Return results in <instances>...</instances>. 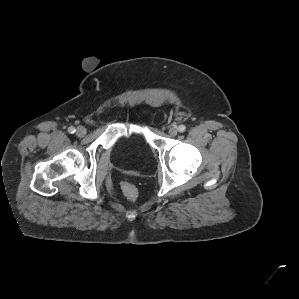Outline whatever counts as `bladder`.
<instances>
[{"instance_id": "1", "label": "bladder", "mask_w": 299, "mask_h": 299, "mask_svg": "<svg viewBox=\"0 0 299 299\" xmlns=\"http://www.w3.org/2000/svg\"><path fill=\"white\" fill-rule=\"evenodd\" d=\"M114 149L121 157V163L127 168L136 167L139 161L146 158L150 153L148 145L139 134L119 139Z\"/></svg>"}]
</instances>
